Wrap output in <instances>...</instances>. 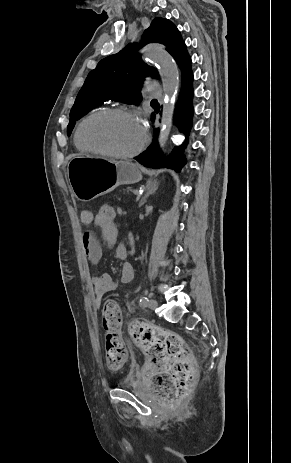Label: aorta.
Instances as JSON below:
<instances>
[{
    "label": "aorta",
    "instance_id": "obj_1",
    "mask_svg": "<svg viewBox=\"0 0 291 463\" xmlns=\"http://www.w3.org/2000/svg\"><path fill=\"white\" fill-rule=\"evenodd\" d=\"M144 56L146 59L158 64L159 74L162 79L164 102L158 141L160 148L164 149L172 126L174 101L179 87V73L174 61L166 52L149 49Z\"/></svg>",
    "mask_w": 291,
    "mask_h": 463
}]
</instances>
